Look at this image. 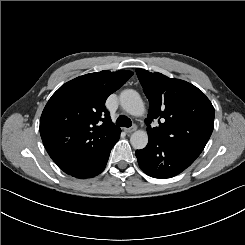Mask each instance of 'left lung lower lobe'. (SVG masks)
Segmentation results:
<instances>
[{
    "mask_svg": "<svg viewBox=\"0 0 245 245\" xmlns=\"http://www.w3.org/2000/svg\"><path fill=\"white\" fill-rule=\"evenodd\" d=\"M135 154L141 170L160 179L180 174L197 159L182 148L152 137H149L147 146Z\"/></svg>",
    "mask_w": 245,
    "mask_h": 245,
    "instance_id": "1",
    "label": "left lung lower lobe"
}]
</instances>
